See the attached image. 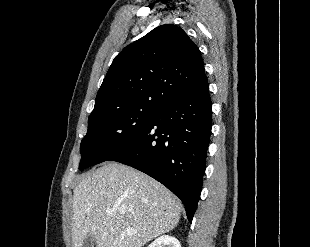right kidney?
<instances>
[{"instance_id":"1","label":"right kidney","mask_w":310,"mask_h":247,"mask_svg":"<svg viewBox=\"0 0 310 247\" xmlns=\"http://www.w3.org/2000/svg\"><path fill=\"white\" fill-rule=\"evenodd\" d=\"M148 247H181V245L175 237L163 235L154 240Z\"/></svg>"}]
</instances>
